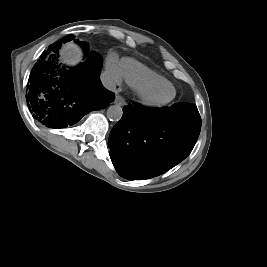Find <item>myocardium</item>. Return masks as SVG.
Returning <instances> with one entry per match:
<instances>
[{
	"label": "myocardium",
	"instance_id": "myocardium-1",
	"mask_svg": "<svg viewBox=\"0 0 267 267\" xmlns=\"http://www.w3.org/2000/svg\"><path fill=\"white\" fill-rule=\"evenodd\" d=\"M164 86H169L173 90V93L169 98H167L165 100H155L149 96V91H151L152 89L164 87ZM136 92H137V96H138L139 100L143 104L148 105V106H153V107L165 106V105L171 103L176 98V95H177V92H176L174 85L170 82L146 83V84H143V85L136 87Z\"/></svg>",
	"mask_w": 267,
	"mask_h": 267
}]
</instances>
